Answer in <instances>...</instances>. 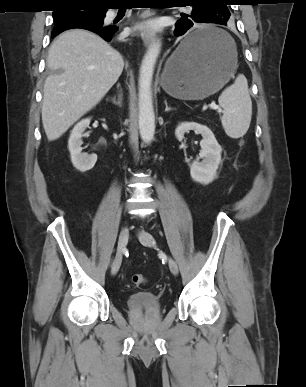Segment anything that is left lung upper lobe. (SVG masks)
Returning <instances> with one entry per match:
<instances>
[{
  "label": "left lung upper lobe",
  "instance_id": "5c2ea615",
  "mask_svg": "<svg viewBox=\"0 0 306 387\" xmlns=\"http://www.w3.org/2000/svg\"><path fill=\"white\" fill-rule=\"evenodd\" d=\"M226 0H185L192 7L191 15L204 23L226 24L230 12ZM191 15L181 14L182 17Z\"/></svg>",
  "mask_w": 306,
  "mask_h": 387
}]
</instances>
